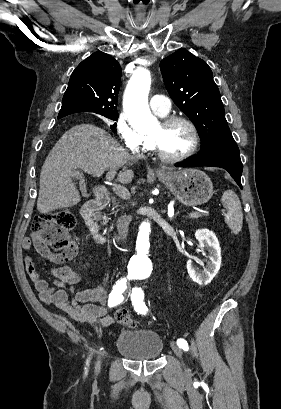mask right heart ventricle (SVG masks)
Instances as JSON below:
<instances>
[{
  "label": "right heart ventricle",
  "instance_id": "obj_1",
  "mask_svg": "<svg viewBox=\"0 0 281 409\" xmlns=\"http://www.w3.org/2000/svg\"><path fill=\"white\" fill-rule=\"evenodd\" d=\"M146 148L145 140L142 138L140 145L134 149V151L139 152L141 150H144Z\"/></svg>",
  "mask_w": 281,
  "mask_h": 409
}]
</instances>
